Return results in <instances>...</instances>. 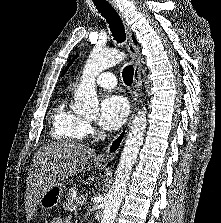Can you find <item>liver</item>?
<instances>
[{
  "instance_id": "6515ba94",
  "label": "liver",
  "mask_w": 221,
  "mask_h": 223,
  "mask_svg": "<svg viewBox=\"0 0 221 223\" xmlns=\"http://www.w3.org/2000/svg\"><path fill=\"white\" fill-rule=\"evenodd\" d=\"M93 155L94 150L88 146L68 140L50 142L38 149L27 177V218L32 219L41 196L51 186L81 173Z\"/></svg>"
}]
</instances>
